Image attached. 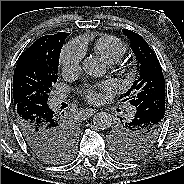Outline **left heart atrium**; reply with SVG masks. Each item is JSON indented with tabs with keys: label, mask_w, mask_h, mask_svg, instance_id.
Listing matches in <instances>:
<instances>
[{
	"label": "left heart atrium",
	"mask_w": 184,
	"mask_h": 184,
	"mask_svg": "<svg viewBox=\"0 0 184 184\" xmlns=\"http://www.w3.org/2000/svg\"><path fill=\"white\" fill-rule=\"evenodd\" d=\"M111 84L108 82L102 83L99 86L84 85L80 88V93L90 102L99 100L98 89L110 90Z\"/></svg>",
	"instance_id": "1"
}]
</instances>
